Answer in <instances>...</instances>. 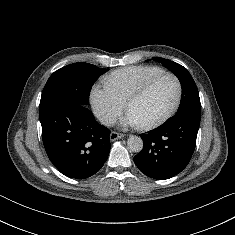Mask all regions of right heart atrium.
Returning <instances> with one entry per match:
<instances>
[{"label":"right heart atrium","instance_id":"1","mask_svg":"<svg viewBox=\"0 0 235 235\" xmlns=\"http://www.w3.org/2000/svg\"><path fill=\"white\" fill-rule=\"evenodd\" d=\"M92 109L103 124H111L125 107L106 84H96L90 93Z\"/></svg>","mask_w":235,"mask_h":235}]
</instances>
